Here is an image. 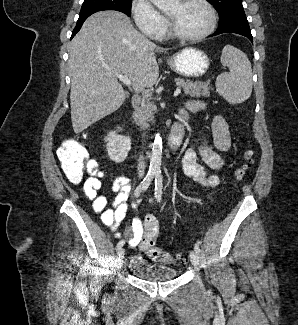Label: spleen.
<instances>
[{"label": "spleen", "instance_id": "1", "mask_svg": "<svg viewBox=\"0 0 298 325\" xmlns=\"http://www.w3.org/2000/svg\"><path fill=\"white\" fill-rule=\"evenodd\" d=\"M220 60L230 70L221 72L215 80L220 96L230 104L244 102L251 96L253 86L252 66L247 54L232 44H225Z\"/></svg>", "mask_w": 298, "mask_h": 325}]
</instances>
